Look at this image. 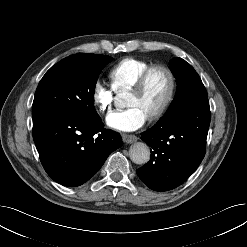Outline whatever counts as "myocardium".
Segmentation results:
<instances>
[{"label": "myocardium", "instance_id": "f54148a6", "mask_svg": "<svg viewBox=\"0 0 247 247\" xmlns=\"http://www.w3.org/2000/svg\"><path fill=\"white\" fill-rule=\"evenodd\" d=\"M157 70H161L166 73L169 80V87L166 97L162 102V104L160 105V107L155 112H153L150 116H148L151 120L160 118L167 111V109L169 108V106L171 105L174 99L176 92V78L173 71L165 65H161V64L152 65L141 74L135 85L130 89V91L133 93H137V94L142 93L146 88L150 76L152 75V73H154Z\"/></svg>", "mask_w": 247, "mask_h": 247}]
</instances>
